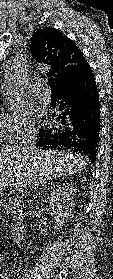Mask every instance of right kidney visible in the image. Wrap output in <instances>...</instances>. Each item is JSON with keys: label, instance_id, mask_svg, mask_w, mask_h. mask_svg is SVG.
Here are the masks:
<instances>
[{"label": "right kidney", "instance_id": "right-kidney-1", "mask_svg": "<svg viewBox=\"0 0 113 279\" xmlns=\"http://www.w3.org/2000/svg\"><path fill=\"white\" fill-rule=\"evenodd\" d=\"M74 190L70 186L59 187L54 189L48 196V202L52 209H55L54 229L60 230L65 222L68 220L71 209L73 207ZM40 234H46L47 230L42 229L39 225Z\"/></svg>", "mask_w": 113, "mask_h": 279}]
</instances>
